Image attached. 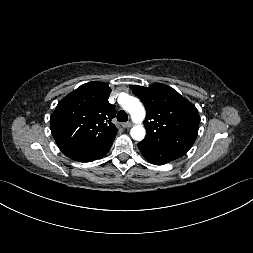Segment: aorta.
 <instances>
[{"label": "aorta", "instance_id": "obj_1", "mask_svg": "<svg viewBox=\"0 0 253 253\" xmlns=\"http://www.w3.org/2000/svg\"><path fill=\"white\" fill-rule=\"evenodd\" d=\"M122 107L130 113L132 121L138 123L131 128L130 134L134 140L141 141L144 139L146 131L142 124H140L145 118V109L139 99L129 96L127 94H121Z\"/></svg>", "mask_w": 253, "mask_h": 253}]
</instances>
